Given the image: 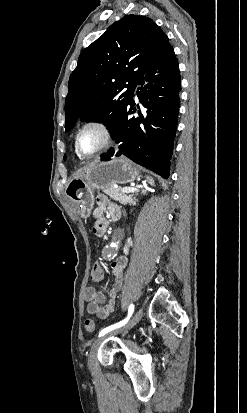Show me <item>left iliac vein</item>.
I'll return each mask as SVG.
<instances>
[{
	"mask_svg": "<svg viewBox=\"0 0 247 413\" xmlns=\"http://www.w3.org/2000/svg\"><path fill=\"white\" fill-rule=\"evenodd\" d=\"M142 316H143V309L141 308L133 315V317L125 325L109 332L108 334L100 337L99 339L93 342L88 359H87V366L90 369V371H94L96 354L103 340H105L109 336H115V335L127 332L128 330L132 329L141 320Z\"/></svg>",
	"mask_w": 247,
	"mask_h": 413,
	"instance_id": "left-iliac-vein-1",
	"label": "left iliac vein"
}]
</instances>
